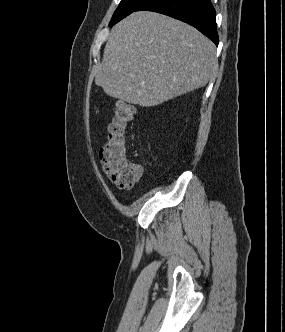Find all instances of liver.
I'll list each match as a JSON object with an SVG mask.
<instances>
[{"instance_id":"1","label":"liver","mask_w":285,"mask_h":332,"mask_svg":"<svg viewBox=\"0 0 285 332\" xmlns=\"http://www.w3.org/2000/svg\"><path fill=\"white\" fill-rule=\"evenodd\" d=\"M217 68L215 45L197 29L134 12L112 28L95 84L110 97L151 107L205 86Z\"/></svg>"}]
</instances>
